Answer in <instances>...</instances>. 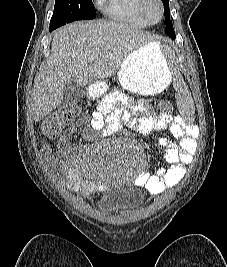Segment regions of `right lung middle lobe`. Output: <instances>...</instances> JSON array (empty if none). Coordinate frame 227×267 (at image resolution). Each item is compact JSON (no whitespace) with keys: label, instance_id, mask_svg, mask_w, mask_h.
<instances>
[{"label":"right lung middle lobe","instance_id":"dd1d6c3e","mask_svg":"<svg viewBox=\"0 0 227 267\" xmlns=\"http://www.w3.org/2000/svg\"><path fill=\"white\" fill-rule=\"evenodd\" d=\"M95 17L96 10L91 0H55L50 28L56 29L76 20H89Z\"/></svg>","mask_w":227,"mask_h":267}]
</instances>
